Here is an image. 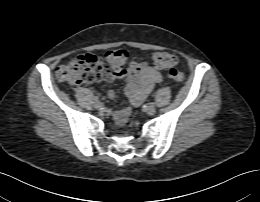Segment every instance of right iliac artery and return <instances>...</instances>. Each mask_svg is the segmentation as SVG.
I'll use <instances>...</instances> for the list:
<instances>
[{
    "label": "right iliac artery",
    "mask_w": 260,
    "mask_h": 202,
    "mask_svg": "<svg viewBox=\"0 0 260 202\" xmlns=\"http://www.w3.org/2000/svg\"><path fill=\"white\" fill-rule=\"evenodd\" d=\"M96 101H98L99 100V97L98 96H95V98H94Z\"/></svg>",
    "instance_id": "right-iliac-artery-1"
}]
</instances>
